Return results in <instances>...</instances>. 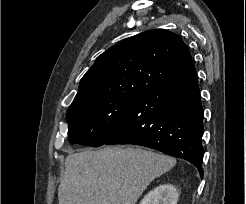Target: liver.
I'll use <instances>...</instances> for the list:
<instances>
[{"label": "liver", "mask_w": 246, "mask_h": 204, "mask_svg": "<svg viewBox=\"0 0 246 204\" xmlns=\"http://www.w3.org/2000/svg\"><path fill=\"white\" fill-rule=\"evenodd\" d=\"M176 159L142 148L119 146L71 153L58 187L59 204H136L146 187Z\"/></svg>", "instance_id": "obj_1"}]
</instances>
